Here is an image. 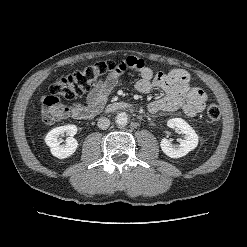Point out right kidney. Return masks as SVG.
Returning a JSON list of instances; mask_svg holds the SVG:
<instances>
[{
  "label": "right kidney",
  "instance_id": "1",
  "mask_svg": "<svg viewBox=\"0 0 247 247\" xmlns=\"http://www.w3.org/2000/svg\"><path fill=\"white\" fill-rule=\"evenodd\" d=\"M66 133L70 137L66 139L65 145H60L58 137L60 134ZM77 133V127L75 125H65L52 129L48 132L45 142L50 147V151L53 156L59 159H65L70 157L77 149L78 142L73 136Z\"/></svg>",
  "mask_w": 247,
  "mask_h": 247
}]
</instances>
